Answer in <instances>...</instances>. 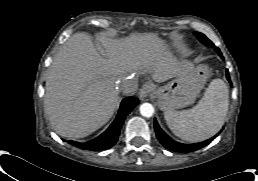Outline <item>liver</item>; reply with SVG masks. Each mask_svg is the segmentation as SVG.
I'll list each match as a JSON object with an SVG mask.
<instances>
[{
	"mask_svg": "<svg viewBox=\"0 0 258 181\" xmlns=\"http://www.w3.org/2000/svg\"><path fill=\"white\" fill-rule=\"evenodd\" d=\"M108 59L85 33L72 35L54 57L44 96L47 117L62 137H86L105 123L118 106L119 82L132 74L151 73L156 82L185 76L192 63L179 61L154 34L126 38L98 36Z\"/></svg>",
	"mask_w": 258,
	"mask_h": 181,
	"instance_id": "liver-1",
	"label": "liver"
}]
</instances>
